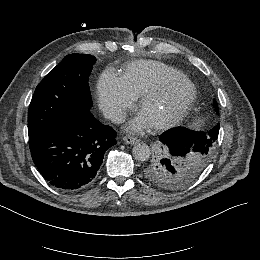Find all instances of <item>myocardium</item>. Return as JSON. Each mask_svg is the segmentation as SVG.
Masks as SVG:
<instances>
[{"label": "myocardium", "instance_id": "myocardium-1", "mask_svg": "<svg viewBox=\"0 0 260 260\" xmlns=\"http://www.w3.org/2000/svg\"><path fill=\"white\" fill-rule=\"evenodd\" d=\"M180 82L186 83L189 87L190 92L187 99L182 104V106L174 113L164 117L163 119L154 121L152 123V127L155 130L168 129L178 124L194 105L197 99V88L191 79L182 74L181 76L176 78L162 80L161 82H159V84L155 85L143 94L139 103V106L142 109L148 106L152 100L159 98L168 87Z\"/></svg>", "mask_w": 260, "mask_h": 260}]
</instances>
